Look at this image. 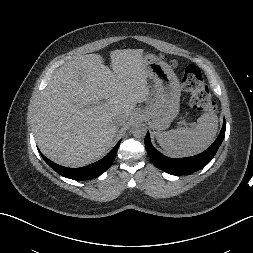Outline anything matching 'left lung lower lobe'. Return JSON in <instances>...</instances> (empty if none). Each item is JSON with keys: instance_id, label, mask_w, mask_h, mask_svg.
Masks as SVG:
<instances>
[{"instance_id": "left-lung-lower-lobe-1", "label": "left lung lower lobe", "mask_w": 253, "mask_h": 253, "mask_svg": "<svg viewBox=\"0 0 253 253\" xmlns=\"http://www.w3.org/2000/svg\"><path fill=\"white\" fill-rule=\"evenodd\" d=\"M226 130L224 119L220 134L214 143L204 152L187 158H169L158 152L151 144L149 133L145 137V148L152 162L161 170L173 175H189L204 168L215 156Z\"/></svg>"}]
</instances>
